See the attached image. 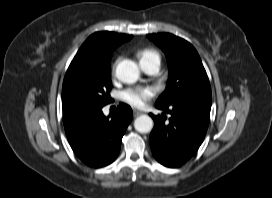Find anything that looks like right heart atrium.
<instances>
[{
	"mask_svg": "<svg viewBox=\"0 0 272 198\" xmlns=\"http://www.w3.org/2000/svg\"><path fill=\"white\" fill-rule=\"evenodd\" d=\"M116 63H117V60L114 62L113 66H112L113 70H114V68L116 66Z\"/></svg>",
	"mask_w": 272,
	"mask_h": 198,
	"instance_id": "obj_1",
	"label": "right heart atrium"
}]
</instances>
